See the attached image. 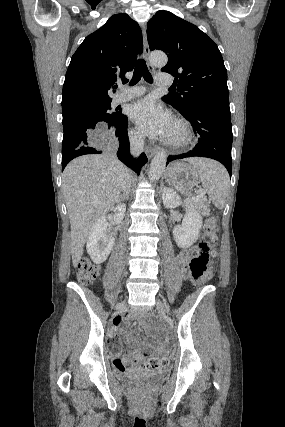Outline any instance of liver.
<instances>
[{"label": "liver", "instance_id": "1", "mask_svg": "<svg viewBox=\"0 0 285 427\" xmlns=\"http://www.w3.org/2000/svg\"><path fill=\"white\" fill-rule=\"evenodd\" d=\"M205 159L192 158L199 163ZM129 170L111 153L84 155L72 160L62 175V192L71 225V254L74 267L94 223L118 202Z\"/></svg>", "mask_w": 285, "mask_h": 427}]
</instances>
